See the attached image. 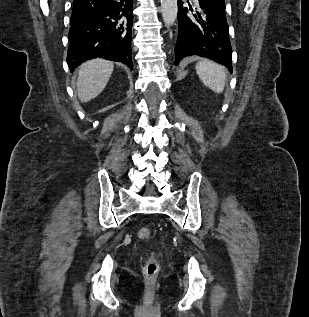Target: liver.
<instances>
[{"label": "liver", "instance_id": "obj_1", "mask_svg": "<svg viewBox=\"0 0 309 317\" xmlns=\"http://www.w3.org/2000/svg\"><path fill=\"white\" fill-rule=\"evenodd\" d=\"M113 68V62L104 59H93L80 66L77 89L81 102H88L103 91L111 77Z\"/></svg>", "mask_w": 309, "mask_h": 317}]
</instances>
